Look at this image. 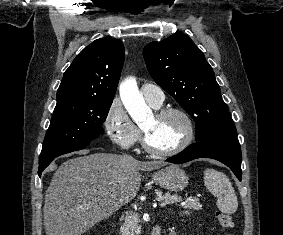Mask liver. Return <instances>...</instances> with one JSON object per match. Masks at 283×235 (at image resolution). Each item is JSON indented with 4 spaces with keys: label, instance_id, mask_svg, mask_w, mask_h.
I'll list each match as a JSON object with an SVG mask.
<instances>
[{
    "label": "liver",
    "instance_id": "liver-1",
    "mask_svg": "<svg viewBox=\"0 0 283 235\" xmlns=\"http://www.w3.org/2000/svg\"><path fill=\"white\" fill-rule=\"evenodd\" d=\"M69 159L56 170L46 191V235H82L135 198L139 170L165 166L161 161H139L125 155L94 153Z\"/></svg>",
    "mask_w": 283,
    "mask_h": 235
}]
</instances>
